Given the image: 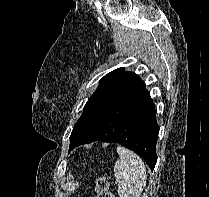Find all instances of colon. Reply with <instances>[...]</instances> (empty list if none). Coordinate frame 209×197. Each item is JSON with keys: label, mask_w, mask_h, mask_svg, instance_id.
<instances>
[{"label": "colon", "mask_w": 209, "mask_h": 197, "mask_svg": "<svg viewBox=\"0 0 209 197\" xmlns=\"http://www.w3.org/2000/svg\"><path fill=\"white\" fill-rule=\"evenodd\" d=\"M96 197H113L110 185L107 179L99 178L95 187Z\"/></svg>", "instance_id": "1"}]
</instances>
